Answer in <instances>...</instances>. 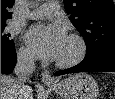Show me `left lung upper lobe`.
I'll use <instances>...</instances> for the list:
<instances>
[{"mask_svg":"<svg viewBox=\"0 0 115 99\" xmlns=\"http://www.w3.org/2000/svg\"><path fill=\"white\" fill-rule=\"evenodd\" d=\"M64 7L85 40V58L115 52V5L112 0H64Z\"/></svg>","mask_w":115,"mask_h":99,"instance_id":"5c2ea615","label":"left lung upper lobe"}]
</instances>
